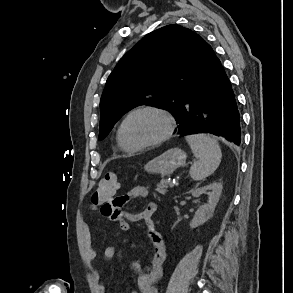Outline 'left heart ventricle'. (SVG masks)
Returning a JSON list of instances; mask_svg holds the SVG:
<instances>
[{"label": "left heart ventricle", "mask_w": 293, "mask_h": 293, "mask_svg": "<svg viewBox=\"0 0 293 293\" xmlns=\"http://www.w3.org/2000/svg\"><path fill=\"white\" fill-rule=\"evenodd\" d=\"M165 126V121L159 115L152 112H140L127 121L125 135L131 144H142L159 137Z\"/></svg>", "instance_id": "obj_1"}]
</instances>
